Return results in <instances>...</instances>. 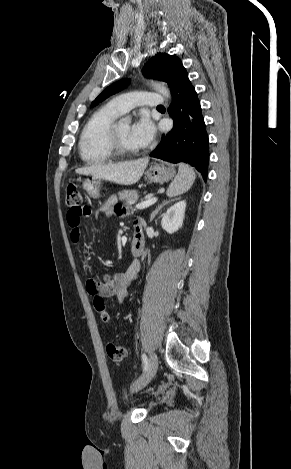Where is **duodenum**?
<instances>
[{
    "label": "duodenum",
    "instance_id": "1",
    "mask_svg": "<svg viewBox=\"0 0 291 469\" xmlns=\"http://www.w3.org/2000/svg\"><path fill=\"white\" fill-rule=\"evenodd\" d=\"M145 247V236L141 226L134 227V236L131 241V253L135 257L142 255Z\"/></svg>",
    "mask_w": 291,
    "mask_h": 469
}]
</instances>
